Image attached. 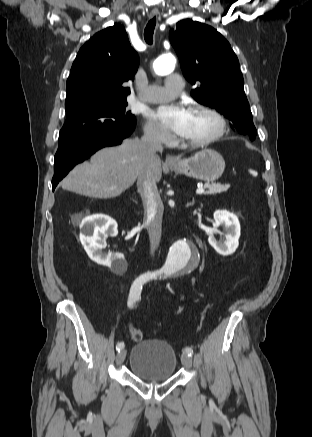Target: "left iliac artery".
Returning a JSON list of instances; mask_svg holds the SVG:
<instances>
[{"label": "left iliac artery", "instance_id": "obj_1", "mask_svg": "<svg viewBox=\"0 0 312 437\" xmlns=\"http://www.w3.org/2000/svg\"><path fill=\"white\" fill-rule=\"evenodd\" d=\"M184 352H185L186 354H188L189 356H192V355H193V349H192L191 347H186V348L184 349Z\"/></svg>", "mask_w": 312, "mask_h": 437}]
</instances>
